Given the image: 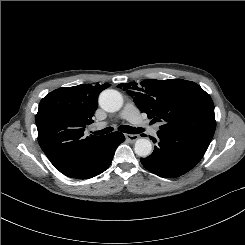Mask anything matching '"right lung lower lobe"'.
Segmentation results:
<instances>
[{
  "instance_id": "1",
  "label": "right lung lower lobe",
  "mask_w": 245,
  "mask_h": 245,
  "mask_svg": "<svg viewBox=\"0 0 245 245\" xmlns=\"http://www.w3.org/2000/svg\"><path fill=\"white\" fill-rule=\"evenodd\" d=\"M124 140L125 137L120 132H113L106 135L101 144L93 152L86 166L64 175L77 179H89L101 174L110 166L116 148Z\"/></svg>"
}]
</instances>
